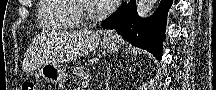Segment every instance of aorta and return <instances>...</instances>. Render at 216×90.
Returning a JSON list of instances; mask_svg holds the SVG:
<instances>
[{
	"instance_id": "1",
	"label": "aorta",
	"mask_w": 216,
	"mask_h": 90,
	"mask_svg": "<svg viewBox=\"0 0 216 90\" xmlns=\"http://www.w3.org/2000/svg\"><path fill=\"white\" fill-rule=\"evenodd\" d=\"M155 4L156 0H138L136 4L137 16H139V18H147L150 12H152Z\"/></svg>"
}]
</instances>
